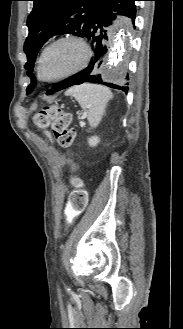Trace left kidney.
Returning a JSON list of instances; mask_svg holds the SVG:
<instances>
[{"mask_svg": "<svg viewBox=\"0 0 183 329\" xmlns=\"http://www.w3.org/2000/svg\"><path fill=\"white\" fill-rule=\"evenodd\" d=\"M99 142H100V139L98 136H92V137L88 138V144L91 147L96 146Z\"/></svg>", "mask_w": 183, "mask_h": 329, "instance_id": "5707ae66", "label": "left kidney"}]
</instances>
